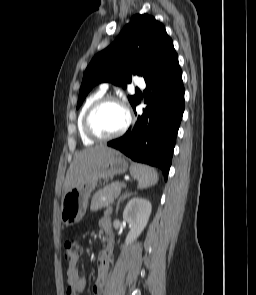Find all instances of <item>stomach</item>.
<instances>
[{
	"label": "stomach",
	"instance_id": "0dacf381",
	"mask_svg": "<svg viewBox=\"0 0 256 295\" xmlns=\"http://www.w3.org/2000/svg\"><path fill=\"white\" fill-rule=\"evenodd\" d=\"M128 168V162L119 153L109 156L102 164L94 168L64 195L60 212L62 223L73 226L80 222L86 213L88 200L98 181L124 174Z\"/></svg>",
	"mask_w": 256,
	"mask_h": 295
}]
</instances>
